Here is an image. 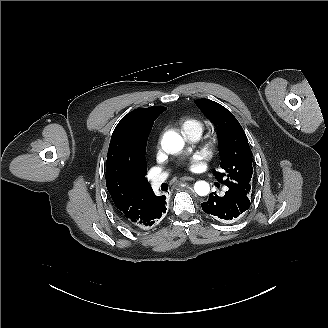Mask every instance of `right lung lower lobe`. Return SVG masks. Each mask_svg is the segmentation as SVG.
<instances>
[{
	"label": "right lung lower lobe",
	"mask_w": 328,
	"mask_h": 328,
	"mask_svg": "<svg viewBox=\"0 0 328 328\" xmlns=\"http://www.w3.org/2000/svg\"><path fill=\"white\" fill-rule=\"evenodd\" d=\"M165 195L156 196L152 198L150 206L144 213L143 217L135 224L129 225L131 228L134 229H151L152 227L156 226L160 220L162 219L163 215L166 213V201ZM123 220V219H122ZM125 222V221H124Z\"/></svg>",
	"instance_id": "98d812e1"
}]
</instances>
